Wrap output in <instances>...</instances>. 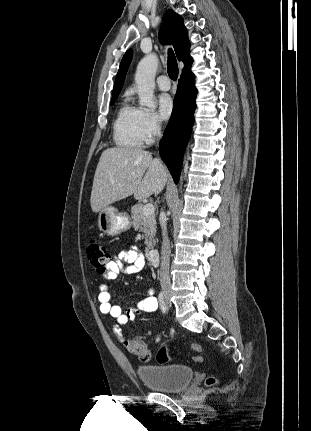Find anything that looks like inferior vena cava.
<instances>
[{
    "instance_id": "obj_1",
    "label": "inferior vena cava",
    "mask_w": 311,
    "mask_h": 431,
    "mask_svg": "<svg viewBox=\"0 0 311 431\" xmlns=\"http://www.w3.org/2000/svg\"><path fill=\"white\" fill-rule=\"evenodd\" d=\"M157 136H161V126H157ZM163 217V212L161 214ZM162 229L163 241L161 247V265H160V283L162 290L168 293L171 290V281L169 275V261H170V247L169 239L167 237L166 221L160 219Z\"/></svg>"
}]
</instances>
